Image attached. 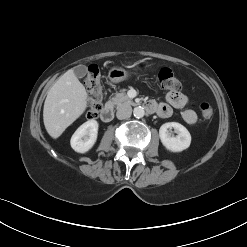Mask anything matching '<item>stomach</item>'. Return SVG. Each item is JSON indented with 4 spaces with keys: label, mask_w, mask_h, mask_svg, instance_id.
Here are the masks:
<instances>
[{
    "label": "stomach",
    "mask_w": 247,
    "mask_h": 247,
    "mask_svg": "<svg viewBox=\"0 0 247 247\" xmlns=\"http://www.w3.org/2000/svg\"><path fill=\"white\" fill-rule=\"evenodd\" d=\"M138 67L140 68H148L149 65L146 62H138ZM131 76V73L123 68H112L110 69L108 73V78L113 83H119L126 79H128Z\"/></svg>",
    "instance_id": "stomach-1"
}]
</instances>
